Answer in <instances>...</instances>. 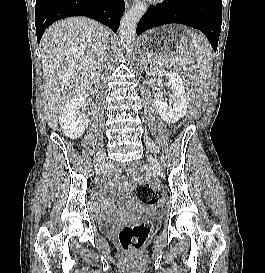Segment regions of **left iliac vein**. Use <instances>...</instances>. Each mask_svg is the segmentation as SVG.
Returning <instances> with one entry per match:
<instances>
[{
	"instance_id": "1",
	"label": "left iliac vein",
	"mask_w": 265,
	"mask_h": 273,
	"mask_svg": "<svg viewBox=\"0 0 265 273\" xmlns=\"http://www.w3.org/2000/svg\"><path fill=\"white\" fill-rule=\"evenodd\" d=\"M145 142L147 144V146L151 149V150H154V151H157V146L155 144V142L150 139V138H145ZM148 162L152 168V170L157 173L160 177H163L164 174H163V171H162V168L160 167V165L158 164V162L151 156H148Z\"/></svg>"
}]
</instances>
